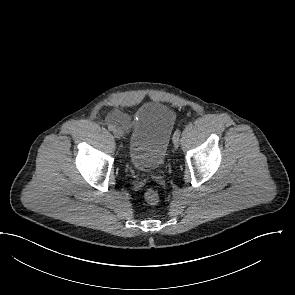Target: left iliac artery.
I'll list each match as a JSON object with an SVG mask.
<instances>
[{"label":"left iliac artery","mask_w":295,"mask_h":295,"mask_svg":"<svg viewBox=\"0 0 295 295\" xmlns=\"http://www.w3.org/2000/svg\"><path fill=\"white\" fill-rule=\"evenodd\" d=\"M180 133H181V131L179 129H177L173 135V139H176V138L179 139Z\"/></svg>","instance_id":"1"}]
</instances>
